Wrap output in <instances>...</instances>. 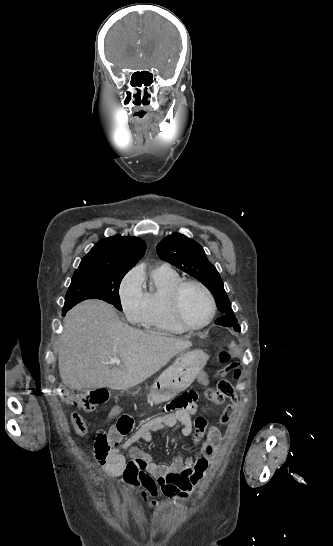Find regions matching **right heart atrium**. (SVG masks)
<instances>
[{"label":"right heart atrium","mask_w":333,"mask_h":546,"mask_svg":"<svg viewBox=\"0 0 333 546\" xmlns=\"http://www.w3.org/2000/svg\"><path fill=\"white\" fill-rule=\"evenodd\" d=\"M141 275L136 269L129 271L119 286V303L125 318L133 324L140 323L144 315Z\"/></svg>","instance_id":"obj_1"}]
</instances>
